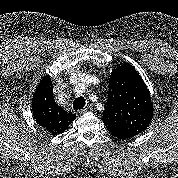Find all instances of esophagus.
Wrapping results in <instances>:
<instances>
[{"label":"esophagus","mask_w":178,"mask_h":178,"mask_svg":"<svg viewBox=\"0 0 178 178\" xmlns=\"http://www.w3.org/2000/svg\"><path fill=\"white\" fill-rule=\"evenodd\" d=\"M91 110H92L91 107H86V108H84V109L78 110L77 113L81 115V114H84V113H86V112H88V111H91Z\"/></svg>","instance_id":"34e87169"}]
</instances>
